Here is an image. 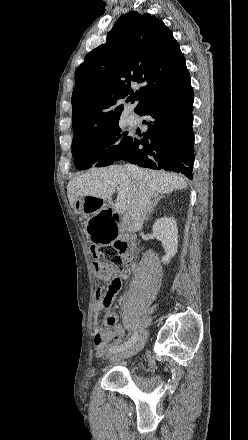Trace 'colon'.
<instances>
[{
    "mask_svg": "<svg viewBox=\"0 0 248 440\" xmlns=\"http://www.w3.org/2000/svg\"><path fill=\"white\" fill-rule=\"evenodd\" d=\"M96 274L100 279L109 280L107 288L98 290L96 300L104 307H109L115 291L119 288V282L113 277L119 267H124L122 254L117 245L98 246L93 249Z\"/></svg>",
    "mask_w": 248,
    "mask_h": 440,
    "instance_id": "colon-1",
    "label": "colon"
}]
</instances>
